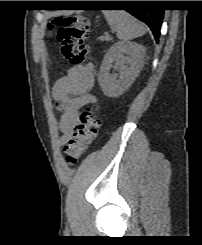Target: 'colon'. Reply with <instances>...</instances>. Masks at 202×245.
I'll use <instances>...</instances> for the list:
<instances>
[{
  "instance_id": "5ec220e1",
  "label": "colon",
  "mask_w": 202,
  "mask_h": 245,
  "mask_svg": "<svg viewBox=\"0 0 202 245\" xmlns=\"http://www.w3.org/2000/svg\"><path fill=\"white\" fill-rule=\"evenodd\" d=\"M54 32L60 56L74 65H83L90 54V47L83 43L88 36L89 24L83 16L55 17L48 24ZM101 120L90 109L81 115L80 124L64 146L66 162L75 165L96 139Z\"/></svg>"
}]
</instances>
